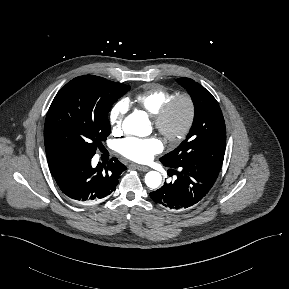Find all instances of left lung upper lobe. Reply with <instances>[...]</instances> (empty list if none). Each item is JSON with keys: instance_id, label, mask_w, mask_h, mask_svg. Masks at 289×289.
<instances>
[{"instance_id": "left-lung-upper-lobe-1", "label": "left lung upper lobe", "mask_w": 289, "mask_h": 289, "mask_svg": "<svg viewBox=\"0 0 289 289\" xmlns=\"http://www.w3.org/2000/svg\"><path fill=\"white\" fill-rule=\"evenodd\" d=\"M177 82L186 88L195 106L193 126L174 151L160 161L169 167L183 165H209L221 168L226 145V129L221 109L213 95L189 78Z\"/></svg>"}]
</instances>
